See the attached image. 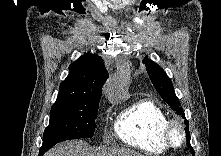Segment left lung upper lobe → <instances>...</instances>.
Instances as JSON below:
<instances>
[{
    "mask_svg": "<svg viewBox=\"0 0 221 156\" xmlns=\"http://www.w3.org/2000/svg\"><path fill=\"white\" fill-rule=\"evenodd\" d=\"M146 70L155 89L162 99L176 111L178 115L185 118V114L180 105L179 99L175 94L173 84L164 70L148 57H145Z\"/></svg>",
    "mask_w": 221,
    "mask_h": 156,
    "instance_id": "5c2ea615",
    "label": "left lung upper lobe"
}]
</instances>
